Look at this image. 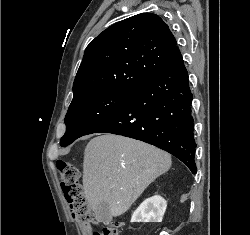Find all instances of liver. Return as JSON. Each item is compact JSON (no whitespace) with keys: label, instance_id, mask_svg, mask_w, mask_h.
Wrapping results in <instances>:
<instances>
[{"label":"liver","instance_id":"1","mask_svg":"<svg viewBox=\"0 0 250 235\" xmlns=\"http://www.w3.org/2000/svg\"><path fill=\"white\" fill-rule=\"evenodd\" d=\"M171 165L168 153L138 140L115 134L91 139L84 152L83 188L96 219L102 202L112 216L124 214Z\"/></svg>","mask_w":250,"mask_h":235}]
</instances>
